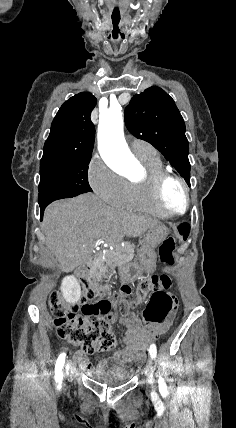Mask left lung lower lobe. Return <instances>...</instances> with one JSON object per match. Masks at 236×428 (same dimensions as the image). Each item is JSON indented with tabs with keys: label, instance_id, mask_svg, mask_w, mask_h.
I'll use <instances>...</instances> for the list:
<instances>
[{
	"label": "left lung lower lobe",
	"instance_id": "0a47b994",
	"mask_svg": "<svg viewBox=\"0 0 236 428\" xmlns=\"http://www.w3.org/2000/svg\"><path fill=\"white\" fill-rule=\"evenodd\" d=\"M178 230L184 236V238H187L190 231V226L187 223H183L178 227Z\"/></svg>",
	"mask_w": 236,
	"mask_h": 428
}]
</instances>
